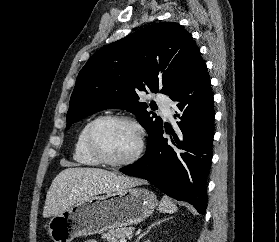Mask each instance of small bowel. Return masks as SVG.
<instances>
[{
	"instance_id": "small-bowel-1",
	"label": "small bowel",
	"mask_w": 279,
	"mask_h": 242,
	"mask_svg": "<svg viewBox=\"0 0 279 242\" xmlns=\"http://www.w3.org/2000/svg\"><path fill=\"white\" fill-rule=\"evenodd\" d=\"M85 242H97L96 240H87Z\"/></svg>"
}]
</instances>
